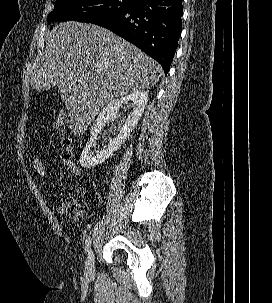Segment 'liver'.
<instances>
[{"instance_id":"liver-1","label":"liver","mask_w":272,"mask_h":303,"mask_svg":"<svg viewBox=\"0 0 272 303\" xmlns=\"http://www.w3.org/2000/svg\"><path fill=\"white\" fill-rule=\"evenodd\" d=\"M163 69L130 42L90 23L69 21L48 31L31 67V87L59 88L69 128L82 135L105 103L154 86Z\"/></svg>"}]
</instances>
